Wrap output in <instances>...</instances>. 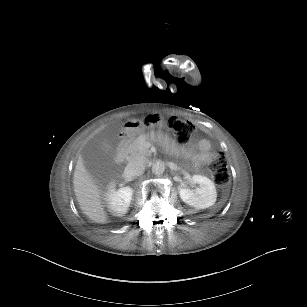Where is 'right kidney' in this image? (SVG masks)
<instances>
[{"instance_id": "right-kidney-1", "label": "right kidney", "mask_w": 307, "mask_h": 307, "mask_svg": "<svg viewBox=\"0 0 307 307\" xmlns=\"http://www.w3.org/2000/svg\"><path fill=\"white\" fill-rule=\"evenodd\" d=\"M132 195L133 189L131 187L126 186L115 190L113 184H111L106 194V202L109 211L115 216H123L126 214Z\"/></svg>"}]
</instances>
